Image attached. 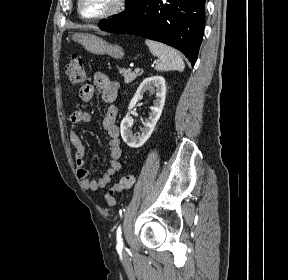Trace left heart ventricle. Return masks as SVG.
Masks as SVG:
<instances>
[{"instance_id": "1", "label": "left heart ventricle", "mask_w": 288, "mask_h": 280, "mask_svg": "<svg viewBox=\"0 0 288 280\" xmlns=\"http://www.w3.org/2000/svg\"><path fill=\"white\" fill-rule=\"evenodd\" d=\"M116 0H83L82 12L86 16H96L109 10Z\"/></svg>"}]
</instances>
